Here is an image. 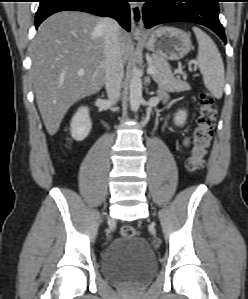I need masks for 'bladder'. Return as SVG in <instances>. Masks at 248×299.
Returning a JSON list of instances; mask_svg holds the SVG:
<instances>
[{"label":"bladder","mask_w":248,"mask_h":299,"mask_svg":"<svg viewBox=\"0 0 248 299\" xmlns=\"http://www.w3.org/2000/svg\"><path fill=\"white\" fill-rule=\"evenodd\" d=\"M104 277L117 284H138L156 273L154 254L142 237H123L112 241L101 260Z\"/></svg>","instance_id":"bladder-1"}]
</instances>
